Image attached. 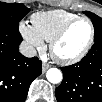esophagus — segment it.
Masks as SVG:
<instances>
[{
    "mask_svg": "<svg viewBox=\"0 0 102 102\" xmlns=\"http://www.w3.org/2000/svg\"><path fill=\"white\" fill-rule=\"evenodd\" d=\"M49 67H50L49 64H47V63H43V65H42V73H45L46 70H47Z\"/></svg>",
    "mask_w": 102,
    "mask_h": 102,
    "instance_id": "1",
    "label": "esophagus"
}]
</instances>
